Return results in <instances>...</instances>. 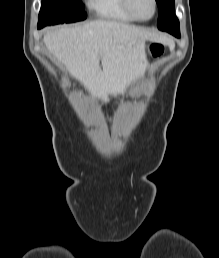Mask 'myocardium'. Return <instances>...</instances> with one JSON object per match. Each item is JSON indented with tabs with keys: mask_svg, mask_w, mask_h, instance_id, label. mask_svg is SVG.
I'll return each instance as SVG.
<instances>
[{
	"mask_svg": "<svg viewBox=\"0 0 219 258\" xmlns=\"http://www.w3.org/2000/svg\"><path fill=\"white\" fill-rule=\"evenodd\" d=\"M122 2H123V6H124L125 10L127 11V13L133 19H135L137 21L145 22V21L151 20L155 16V14L157 13V10H158V2H157V0H152V2H153V13H152V15L150 17H148V18H141V17H138L135 14V12H134V10L132 8V5H131V0H122Z\"/></svg>",
	"mask_w": 219,
	"mask_h": 258,
	"instance_id": "f54148a6",
	"label": "myocardium"
}]
</instances>
